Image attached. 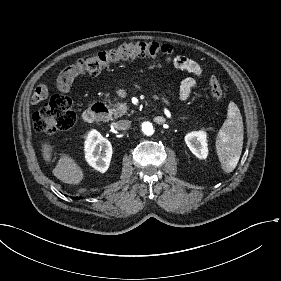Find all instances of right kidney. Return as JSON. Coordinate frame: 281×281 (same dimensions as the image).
Instances as JSON below:
<instances>
[{
    "instance_id": "1",
    "label": "right kidney",
    "mask_w": 281,
    "mask_h": 281,
    "mask_svg": "<svg viewBox=\"0 0 281 281\" xmlns=\"http://www.w3.org/2000/svg\"><path fill=\"white\" fill-rule=\"evenodd\" d=\"M86 159L90 165L100 172H106L112 158L111 143L95 130L88 133L86 142Z\"/></svg>"
}]
</instances>
